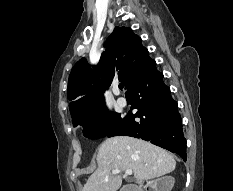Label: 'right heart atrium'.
<instances>
[{
    "label": "right heart atrium",
    "mask_w": 233,
    "mask_h": 191,
    "mask_svg": "<svg viewBox=\"0 0 233 191\" xmlns=\"http://www.w3.org/2000/svg\"><path fill=\"white\" fill-rule=\"evenodd\" d=\"M97 130L100 134L105 135L108 131V124L105 120H101L97 124Z\"/></svg>",
    "instance_id": "right-heart-atrium-1"
}]
</instances>
